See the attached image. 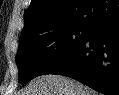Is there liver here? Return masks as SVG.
Segmentation results:
<instances>
[{"label":"liver","instance_id":"obj_1","mask_svg":"<svg viewBox=\"0 0 119 95\" xmlns=\"http://www.w3.org/2000/svg\"><path fill=\"white\" fill-rule=\"evenodd\" d=\"M17 95H99L98 92L73 79L48 74L33 79Z\"/></svg>","mask_w":119,"mask_h":95}]
</instances>
